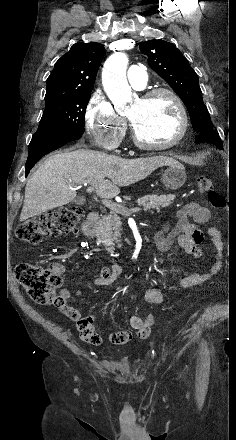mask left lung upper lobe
Returning <instances> with one entry per match:
<instances>
[{
    "mask_svg": "<svg viewBox=\"0 0 236 440\" xmlns=\"http://www.w3.org/2000/svg\"><path fill=\"white\" fill-rule=\"evenodd\" d=\"M155 70L184 102L193 129L198 133L213 129L208 110L202 99L198 76L188 60L172 43L163 40L145 41L139 46Z\"/></svg>",
    "mask_w": 236,
    "mask_h": 440,
    "instance_id": "obj_1",
    "label": "left lung upper lobe"
}]
</instances>
